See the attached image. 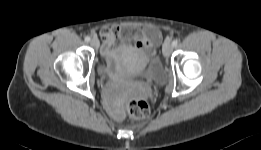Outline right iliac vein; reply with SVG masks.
<instances>
[{
	"label": "right iliac vein",
	"mask_w": 261,
	"mask_h": 150,
	"mask_svg": "<svg viewBox=\"0 0 261 150\" xmlns=\"http://www.w3.org/2000/svg\"><path fill=\"white\" fill-rule=\"evenodd\" d=\"M91 46H93L94 48H98L99 47V41L97 38H92L90 41Z\"/></svg>",
	"instance_id": "63e3f726"
}]
</instances>
